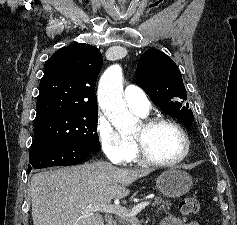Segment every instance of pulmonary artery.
Listing matches in <instances>:
<instances>
[{"label":"pulmonary artery","instance_id":"e3ab8cb5","mask_svg":"<svg viewBox=\"0 0 237 225\" xmlns=\"http://www.w3.org/2000/svg\"><path fill=\"white\" fill-rule=\"evenodd\" d=\"M127 106L136 113L145 116L149 112L150 102L146 93L138 86L130 84L124 90Z\"/></svg>","mask_w":237,"mask_h":225}]
</instances>
